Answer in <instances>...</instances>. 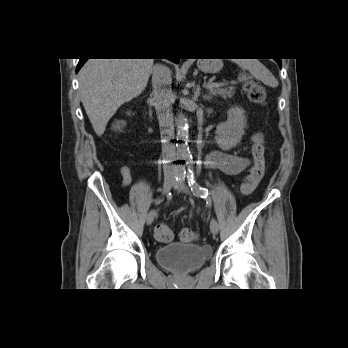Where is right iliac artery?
<instances>
[{
    "mask_svg": "<svg viewBox=\"0 0 348 348\" xmlns=\"http://www.w3.org/2000/svg\"><path fill=\"white\" fill-rule=\"evenodd\" d=\"M186 177V170L184 167H181L177 170L176 175H175V181L177 184L181 183ZM177 187V186H176ZM175 187V188H176ZM171 193H169L170 195ZM162 200H156V203H160Z\"/></svg>",
    "mask_w": 348,
    "mask_h": 348,
    "instance_id": "82829eb1",
    "label": "right iliac artery"
}]
</instances>
